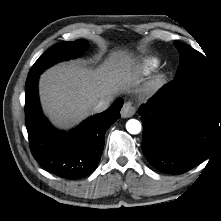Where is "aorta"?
Masks as SVG:
<instances>
[{
  "mask_svg": "<svg viewBox=\"0 0 221 221\" xmlns=\"http://www.w3.org/2000/svg\"><path fill=\"white\" fill-rule=\"evenodd\" d=\"M141 128V123L136 119H130L126 123V129L130 134L140 133Z\"/></svg>",
  "mask_w": 221,
  "mask_h": 221,
  "instance_id": "762f6f07",
  "label": "aorta"
}]
</instances>
